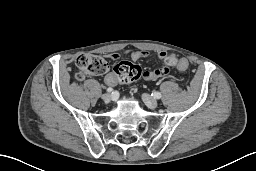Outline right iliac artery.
Here are the masks:
<instances>
[{"label":"right iliac artery","instance_id":"right-iliac-artery-1","mask_svg":"<svg viewBox=\"0 0 256 171\" xmlns=\"http://www.w3.org/2000/svg\"><path fill=\"white\" fill-rule=\"evenodd\" d=\"M107 92H112L113 91V89L111 88V87H109V88H107V90H106Z\"/></svg>","mask_w":256,"mask_h":171}]
</instances>
